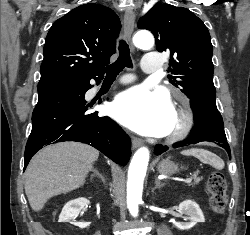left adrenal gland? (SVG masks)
<instances>
[{
    "instance_id": "obj_1",
    "label": "left adrenal gland",
    "mask_w": 250,
    "mask_h": 235,
    "mask_svg": "<svg viewBox=\"0 0 250 235\" xmlns=\"http://www.w3.org/2000/svg\"><path fill=\"white\" fill-rule=\"evenodd\" d=\"M164 186V184H161L160 180H158L157 178L155 179V186L154 188L152 189V192H154L156 189L160 188Z\"/></svg>"
}]
</instances>
